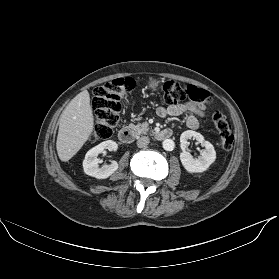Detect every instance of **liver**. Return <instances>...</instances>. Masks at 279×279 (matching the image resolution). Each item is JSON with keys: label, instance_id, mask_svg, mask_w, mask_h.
Segmentation results:
<instances>
[{"label": "liver", "instance_id": "6515ba94", "mask_svg": "<svg viewBox=\"0 0 279 279\" xmlns=\"http://www.w3.org/2000/svg\"><path fill=\"white\" fill-rule=\"evenodd\" d=\"M93 129L90 96L84 90L70 101L59 118L56 148L60 160L69 161L89 139Z\"/></svg>", "mask_w": 279, "mask_h": 279}]
</instances>
